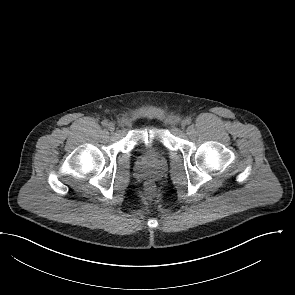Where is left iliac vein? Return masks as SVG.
Instances as JSON below:
<instances>
[{"mask_svg": "<svg viewBox=\"0 0 295 295\" xmlns=\"http://www.w3.org/2000/svg\"><path fill=\"white\" fill-rule=\"evenodd\" d=\"M186 125H187L186 121L183 120V121L181 122V126H182V127H185Z\"/></svg>", "mask_w": 295, "mask_h": 295, "instance_id": "obj_1", "label": "left iliac vein"}]
</instances>
